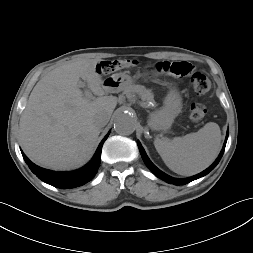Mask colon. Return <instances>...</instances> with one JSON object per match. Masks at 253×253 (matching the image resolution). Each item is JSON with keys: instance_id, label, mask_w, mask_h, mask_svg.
<instances>
[{"instance_id": "5ec220e1", "label": "colon", "mask_w": 253, "mask_h": 253, "mask_svg": "<svg viewBox=\"0 0 253 253\" xmlns=\"http://www.w3.org/2000/svg\"><path fill=\"white\" fill-rule=\"evenodd\" d=\"M137 64L134 60L119 59L101 62L98 70L102 74H111L113 72L135 67ZM159 72L179 77L189 78L193 91L198 95L206 94L211 89V81L209 78L194 69V67L186 61L170 62L163 61L157 64ZM207 109L201 103H193L190 107V118L194 122H200L206 116Z\"/></svg>"}]
</instances>
